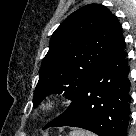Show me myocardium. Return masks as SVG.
Here are the masks:
<instances>
[{
  "mask_svg": "<svg viewBox=\"0 0 136 136\" xmlns=\"http://www.w3.org/2000/svg\"><path fill=\"white\" fill-rule=\"evenodd\" d=\"M61 105V99L57 96H48L38 105V112L41 114H49L57 110Z\"/></svg>",
  "mask_w": 136,
  "mask_h": 136,
  "instance_id": "myocardium-1",
  "label": "myocardium"
}]
</instances>
